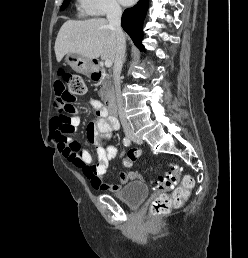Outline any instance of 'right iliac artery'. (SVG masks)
<instances>
[{
	"mask_svg": "<svg viewBox=\"0 0 248 258\" xmlns=\"http://www.w3.org/2000/svg\"><path fill=\"white\" fill-rule=\"evenodd\" d=\"M123 143H124L125 146H129L131 144V141L128 138H124Z\"/></svg>",
	"mask_w": 248,
	"mask_h": 258,
	"instance_id": "right-iliac-artery-1",
	"label": "right iliac artery"
}]
</instances>
